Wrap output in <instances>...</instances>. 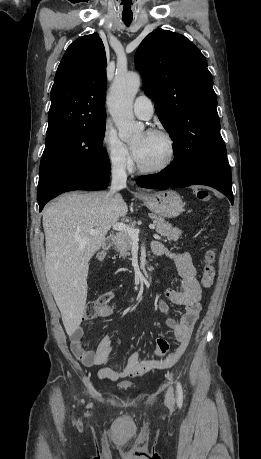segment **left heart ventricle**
I'll list each match as a JSON object with an SVG mask.
<instances>
[{
    "instance_id": "obj_1",
    "label": "left heart ventricle",
    "mask_w": 261,
    "mask_h": 459,
    "mask_svg": "<svg viewBox=\"0 0 261 459\" xmlns=\"http://www.w3.org/2000/svg\"><path fill=\"white\" fill-rule=\"evenodd\" d=\"M132 146L140 148V158L137 161L141 166L153 167L162 163L168 154L166 141L150 133L138 134L132 141Z\"/></svg>"
}]
</instances>
